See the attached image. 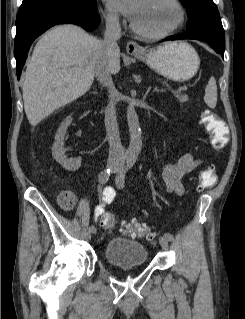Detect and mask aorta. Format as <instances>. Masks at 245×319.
<instances>
[{"instance_id": "762f6f07", "label": "aorta", "mask_w": 245, "mask_h": 319, "mask_svg": "<svg viewBox=\"0 0 245 319\" xmlns=\"http://www.w3.org/2000/svg\"><path fill=\"white\" fill-rule=\"evenodd\" d=\"M127 122L130 133V143L125 152V157L129 162H134L141 152L142 137L139 119L132 103H129L127 107Z\"/></svg>"}]
</instances>
